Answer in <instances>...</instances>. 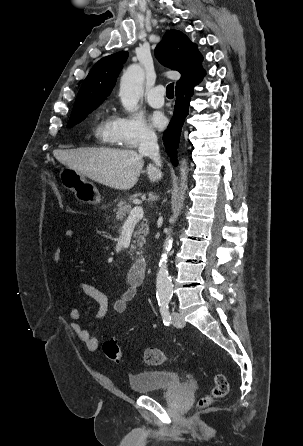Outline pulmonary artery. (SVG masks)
<instances>
[{"label": "pulmonary artery", "mask_w": 303, "mask_h": 446, "mask_svg": "<svg viewBox=\"0 0 303 446\" xmlns=\"http://www.w3.org/2000/svg\"><path fill=\"white\" fill-rule=\"evenodd\" d=\"M165 89L162 85H157L152 88L147 95V101L150 106L154 108L162 107L164 104Z\"/></svg>", "instance_id": "e3ab8cb5"}]
</instances>
